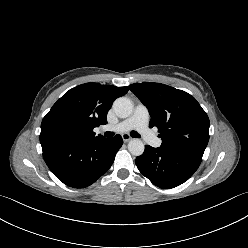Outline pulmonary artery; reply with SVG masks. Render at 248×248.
Returning a JSON list of instances; mask_svg holds the SVG:
<instances>
[{
  "instance_id": "obj_1",
  "label": "pulmonary artery",
  "mask_w": 248,
  "mask_h": 248,
  "mask_svg": "<svg viewBox=\"0 0 248 248\" xmlns=\"http://www.w3.org/2000/svg\"><path fill=\"white\" fill-rule=\"evenodd\" d=\"M148 121V109L144 105L138 104L136 105L130 117L121 121L113 127L107 126L105 127V129L118 132L137 130L147 143L152 146L158 147L161 145V140L149 129Z\"/></svg>"
}]
</instances>
